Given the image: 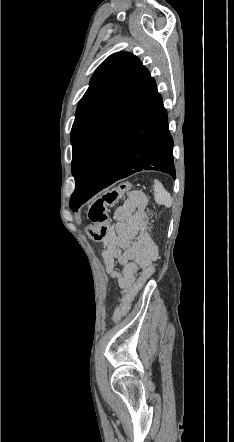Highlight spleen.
I'll return each mask as SVG.
<instances>
[{"mask_svg": "<svg viewBox=\"0 0 234 442\" xmlns=\"http://www.w3.org/2000/svg\"><path fill=\"white\" fill-rule=\"evenodd\" d=\"M153 188L155 192L154 196L155 202L159 205L171 207L172 197L170 193L167 190H165L163 185L158 180H154Z\"/></svg>", "mask_w": 234, "mask_h": 442, "instance_id": "obj_1", "label": "spleen"}]
</instances>
